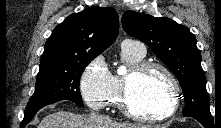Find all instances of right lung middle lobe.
Here are the masks:
<instances>
[{"mask_svg": "<svg viewBox=\"0 0 221 128\" xmlns=\"http://www.w3.org/2000/svg\"><path fill=\"white\" fill-rule=\"evenodd\" d=\"M93 59L88 58L63 67L40 70L36 79L35 92L29 100L25 112L60 100H70L83 106L79 90L80 77Z\"/></svg>", "mask_w": 221, "mask_h": 128, "instance_id": "1", "label": "right lung middle lobe"}]
</instances>
